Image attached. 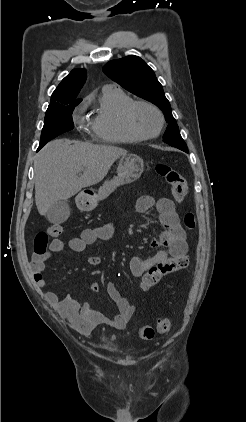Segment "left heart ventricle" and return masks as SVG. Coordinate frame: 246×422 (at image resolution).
I'll return each instance as SVG.
<instances>
[{"label":"left heart ventricle","mask_w":246,"mask_h":422,"mask_svg":"<svg viewBox=\"0 0 246 422\" xmlns=\"http://www.w3.org/2000/svg\"><path fill=\"white\" fill-rule=\"evenodd\" d=\"M134 122L144 133H153L159 126V117L154 110L146 106H139L134 112Z\"/></svg>","instance_id":"left-heart-ventricle-1"}]
</instances>
